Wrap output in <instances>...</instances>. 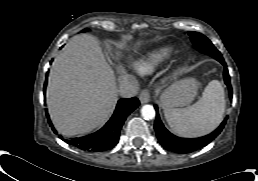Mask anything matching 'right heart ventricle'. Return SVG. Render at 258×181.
Segmentation results:
<instances>
[{
    "label": "right heart ventricle",
    "mask_w": 258,
    "mask_h": 181,
    "mask_svg": "<svg viewBox=\"0 0 258 181\" xmlns=\"http://www.w3.org/2000/svg\"><path fill=\"white\" fill-rule=\"evenodd\" d=\"M171 53L172 48L168 46L156 48L136 61L134 67L141 74L150 73L157 65L166 61Z\"/></svg>",
    "instance_id": "e07e8e85"
}]
</instances>
